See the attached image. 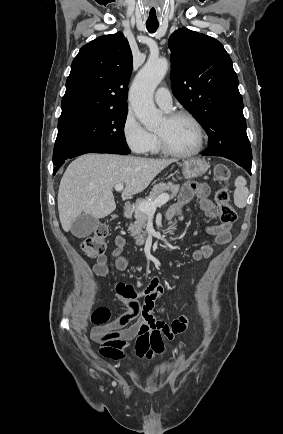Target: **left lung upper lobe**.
Masks as SVG:
<instances>
[{
	"label": "left lung upper lobe",
	"mask_w": 283,
	"mask_h": 434,
	"mask_svg": "<svg viewBox=\"0 0 283 434\" xmlns=\"http://www.w3.org/2000/svg\"><path fill=\"white\" fill-rule=\"evenodd\" d=\"M168 46L173 94L207 132L206 154L237 164L252 160L238 77L223 45L180 28L170 36Z\"/></svg>",
	"instance_id": "obj_1"
}]
</instances>
